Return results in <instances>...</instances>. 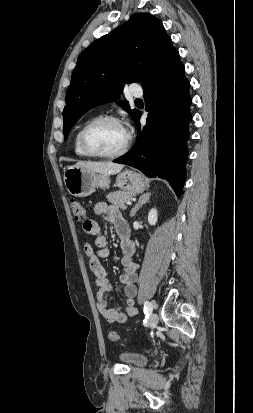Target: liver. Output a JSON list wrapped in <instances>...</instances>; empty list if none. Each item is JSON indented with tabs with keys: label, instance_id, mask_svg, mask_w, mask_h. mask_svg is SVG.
<instances>
[{
	"label": "liver",
	"instance_id": "obj_1",
	"mask_svg": "<svg viewBox=\"0 0 253 413\" xmlns=\"http://www.w3.org/2000/svg\"><path fill=\"white\" fill-rule=\"evenodd\" d=\"M76 166L87 169L88 171L105 175L117 174L124 168L123 164L91 161H80L76 163Z\"/></svg>",
	"mask_w": 253,
	"mask_h": 413
}]
</instances>
